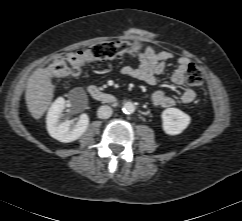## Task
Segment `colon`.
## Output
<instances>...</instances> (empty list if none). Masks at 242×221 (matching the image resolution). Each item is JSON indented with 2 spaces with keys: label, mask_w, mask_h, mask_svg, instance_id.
I'll list each match as a JSON object with an SVG mask.
<instances>
[{
  "label": "colon",
  "mask_w": 242,
  "mask_h": 221,
  "mask_svg": "<svg viewBox=\"0 0 242 221\" xmlns=\"http://www.w3.org/2000/svg\"><path fill=\"white\" fill-rule=\"evenodd\" d=\"M142 50L139 41L102 42L83 50L71 51L52 60L47 68L53 79H62L78 74L88 63L105 61L122 55L135 54ZM186 80L193 87H201L204 82L203 73L194 63L188 64Z\"/></svg>",
  "instance_id": "obj_1"
}]
</instances>
